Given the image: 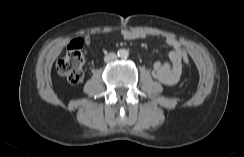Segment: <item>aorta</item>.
I'll list each match as a JSON object with an SVG mask.
<instances>
[{"label": "aorta", "mask_w": 244, "mask_h": 157, "mask_svg": "<svg viewBox=\"0 0 244 157\" xmlns=\"http://www.w3.org/2000/svg\"><path fill=\"white\" fill-rule=\"evenodd\" d=\"M118 55H119L121 58H127L128 55H129V52H128V50H126V49H120V50L118 51Z\"/></svg>", "instance_id": "762f6f07"}]
</instances>
